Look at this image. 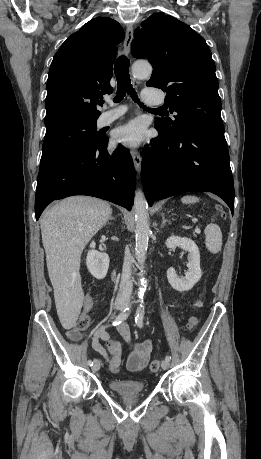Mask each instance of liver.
Listing matches in <instances>:
<instances>
[{
	"label": "liver",
	"mask_w": 261,
	"mask_h": 459,
	"mask_svg": "<svg viewBox=\"0 0 261 459\" xmlns=\"http://www.w3.org/2000/svg\"><path fill=\"white\" fill-rule=\"evenodd\" d=\"M111 214L110 204L103 200L72 196L47 209L40 220L57 313L66 329L75 326L83 302L81 254Z\"/></svg>",
	"instance_id": "liver-1"
}]
</instances>
